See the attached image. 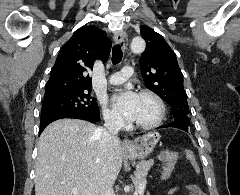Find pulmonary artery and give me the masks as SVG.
<instances>
[{"label":"pulmonary artery","instance_id":"1","mask_svg":"<svg viewBox=\"0 0 240 195\" xmlns=\"http://www.w3.org/2000/svg\"><path fill=\"white\" fill-rule=\"evenodd\" d=\"M132 67L130 65H125L122 67V71H118L117 74L112 75L110 78V83L112 84H120L124 80H129L130 76L134 75V72L131 71ZM123 74V75H122Z\"/></svg>","mask_w":240,"mask_h":195}]
</instances>
